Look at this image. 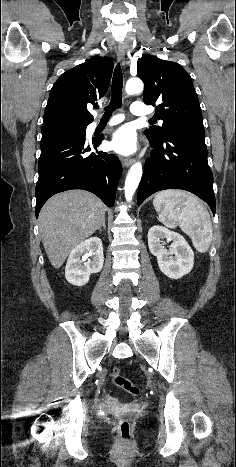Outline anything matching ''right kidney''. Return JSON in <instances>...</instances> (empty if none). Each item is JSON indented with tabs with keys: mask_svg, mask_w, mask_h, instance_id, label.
<instances>
[{
	"mask_svg": "<svg viewBox=\"0 0 236 467\" xmlns=\"http://www.w3.org/2000/svg\"><path fill=\"white\" fill-rule=\"evenodd\" d=\"M91 256L87 262H83V255ZM104 263L102 241L98 237H91L77 245L70 253L66 268V280L72 285L83 286L90 278V274L102 270Z\"/></svg>",
	"mask_w": 236,
	"mask_h": 467,
	"instance_id": "right-kidney-1",
	"label": "right kidney"
}]
</instances>
